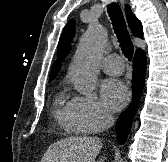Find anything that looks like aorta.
<instances>
[{"label":"aorta","mask_w":168,"mask_h":162,"mask_svg":"<svg viewBox=\"0 0 168 162\" xmlns=\"http://www.w3.org/2000/svg\"><path fill=\"white\" fill-rule=\"evenodd\" d=\"M107 41V32L100 24H89L77 47L70 71L74 87L81 94L89 95L95 90L99 61Z\"/></svg>","instance_id":"1"}]
</instances>
